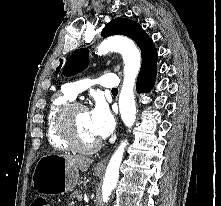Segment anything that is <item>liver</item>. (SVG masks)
Returning <instances> with one entry per match:
<instances>
[{"instance_id": "obj_1", "label": "liver", "mask_w": 221, "mask_h": 206, "mask_svg": "<svg viewBox=\"0 0 221 206\" xmlns=\"http://www.w3.org/2000/svg\"><path fill=\"white\" fill-rule=\"evenodd\" d=\"M64 157L66 158L70 166L78 170H81L82 172H86L89 169L90 165L93 163L92 159L85 157L70 156V155H66Z\"/></svg>"}]
</instances>
